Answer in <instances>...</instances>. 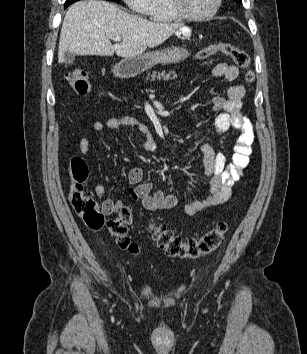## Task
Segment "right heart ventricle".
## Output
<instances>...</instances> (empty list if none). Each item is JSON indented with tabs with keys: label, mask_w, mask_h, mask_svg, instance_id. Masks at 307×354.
I'll return each mask as SVG.
<instances>
[{
	"label": "right heart ventricle",
	"mask_w": 307,
	"mask_h": 354,
	"mask_svg": "<svg viewBox=\"0 0 307 354\" xmlns=\"http://www.w3.org/2000/svg\"><path fill=\"white\" fill-rule=\"evenodd\" d=\"M154 22H173L179 18L173 13L169 0H151L145 13Z\"/></svg>",
	"instance_id": "e07e8e85"
}]
</instances>
